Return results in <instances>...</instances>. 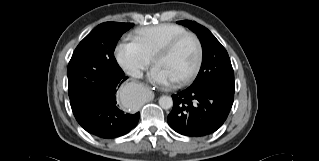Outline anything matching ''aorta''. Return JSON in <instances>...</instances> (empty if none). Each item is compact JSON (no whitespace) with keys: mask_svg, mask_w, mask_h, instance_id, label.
<instances>
[{"mask_svg":"<svg viewBox=\"0 0 319 161\" xmlns=\"http://www.w3.org/2000/svg\"><path fill=\"white\" fill-rule=\"evenodd\" d=\"M159 105L163 109H170L173 106V100L170 96H161Z\"/></svg>","mask_w":319,"mask_h":161,"instance_id":"aorta-1","label":"aorta"}]
</instances>
